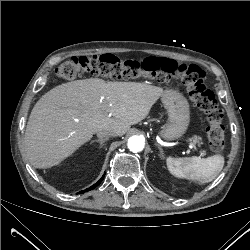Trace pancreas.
I'll list each match as a JSON object with an SVG mask.
<instances>
[{
  "label": "pancreas",
  "mask_w": 250,
  "mask_h": 250,
  "mask_svg": "<svg viewBox=\"0 0 250 250\" xmlns=\"http://www.w3.org/2000/svg\"><path fill=\"white\" fill-rule=\"evenodd\" d=\"M198 141H199V140L196 138V139H195V142H198Z\"/></svg>",
  "instance_id": "cf45deb5"
}]
</instances>
